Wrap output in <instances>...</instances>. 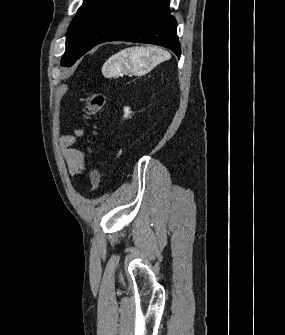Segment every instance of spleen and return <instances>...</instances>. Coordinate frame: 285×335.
Segmentation results:
<instances>
[{
  "label": "spleen",
  "mask_w": 285,
  "mask_h": 335,
  "mask_svg": "<svg viewBox=\"0 0 285 335\" xmlns=\"http://www.w3.org/2000/svg\"><path fill=\"white\" fill-rule=\"evenodd\" d=\"M131 54V56H129ZM126 58H130L131 68H154L157 64L170 60L169 52L160 48H127L118 54V62L113 64L111 70L128 66Z\"/></svg>",
  "instance_id": "spleen-1"
}]
</instances>
